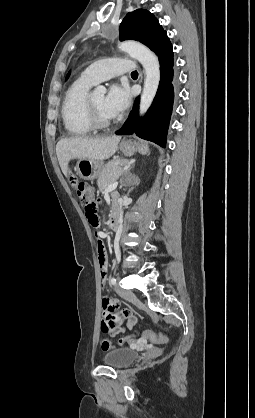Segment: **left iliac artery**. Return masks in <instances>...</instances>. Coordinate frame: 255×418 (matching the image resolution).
I'll list each match as a JSON object with an SVG mask.
<instances>
[{
  "instance_id": "1",
  "label": "left iliac artery",
  "mask_w": 255,
  "mask_h": 418,
  "mask_svg": "<svg viewBox=\"0 0 255 418\" xmlns=\"http://www.w3.org/2000/svg\"><path fill=\"white\" fill-rule=\"evenodd\" d=\"M110 282H111L112 285H115L116 284V279L114 277H112Z\"/></svg>"
}]
</instances>
